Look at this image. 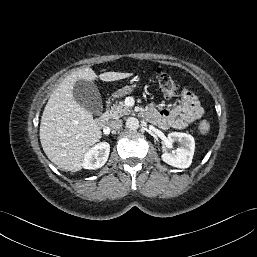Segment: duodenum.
<instances>
[{
	"mask_svg": "<svg viewBox=\"0 0 257 257\" xmlns=\"http://www.w3.org/2000/svg\"><path fill=\"white\" fill-rule=\"evenodd\" d=\"M107 121H108V119H107L106 114H102V115L98 116L95 120L96 124L101 129H103L107 126Z\"/></svg>",
	"mask_w": 257,
	"mask_h": 257,
	"instance_id": "410a0bca",
	"label": "duodenum"
}]
</instances>
